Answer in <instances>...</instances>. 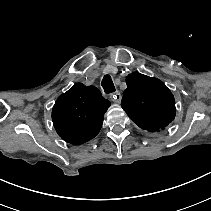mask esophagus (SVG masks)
Listing matches in <instances>:
<instances>
[{"label":"esophagus","instance_id":"obj_1","mask_svg":"<svg viewBox=\"0 0 211 211\" xmlns=\"http://www.w3.org/2000/svg\"><path fill=\"white\" fill-rule=\"evenodd\" d=\"M111 100L115 103H120L121 102V99H122V96H121V93L117 90L115 91L114 94H112L110 96Z\"/></svg>","mask_w":211,"mask_h":211}]
</instances>
